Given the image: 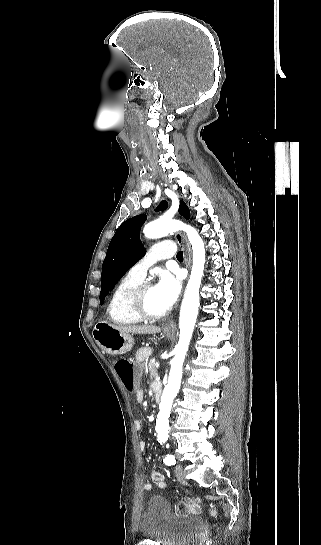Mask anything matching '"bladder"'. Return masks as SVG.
Wrapping results in <instances>:
<instances>
[{"instance_id": "1", "label": "bladder", "mask_w": 321, "mask_h": 545, "mask_svg": "<svg viewBox=\"0 0 321 545\" xmlns=\"http://www.w3.org/2000/svg\"><path fill=\"white\" fill-rule=\"evenodd\" d=\"M201 523L199 516L173 513L165 499L156 496L142 516L141 532L146 539L160 545H187Z\"/></svg>"}]
</instances>
